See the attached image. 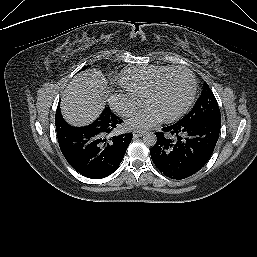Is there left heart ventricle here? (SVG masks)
Listing matches in <instances>:
<instances>
[{
    "mask_svg": "<svg viewBox=\"0 0 257 257\" xmlns=\"http://www.w3.org/2000/svg\"><path fill=\"white\" fill-rule=\"evenodd\" d=\"M190 84V78L186 73H174L166 78L147 105L154 108L161 116L171 114L185 102Z\"/></svg>",
    "mask_w": 257,
    "mask_h": 257,
    "instance_id": "b2bd125f",
    "label": "left heart ventricle"
}]
</instances>
